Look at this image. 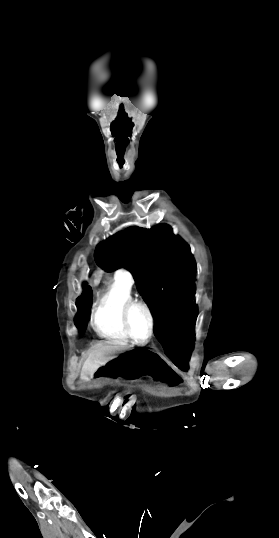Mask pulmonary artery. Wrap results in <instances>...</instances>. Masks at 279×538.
<instances>
[{"mask_svg": "<svg viewBox=\"0 0 279 538\" xmlns=\"http://www.w3.org/2000/svg\"><path fill=\"white\" fill-rule=\"evenodd\" d=\"M119 273H121V270H118V271L116 272V274H119Z\"/></svg>", "mask_w": 279, "mask_h": 538, "instance_id": "e3ab8cb5", "label": "pulmonary artery"}]
</instances>
